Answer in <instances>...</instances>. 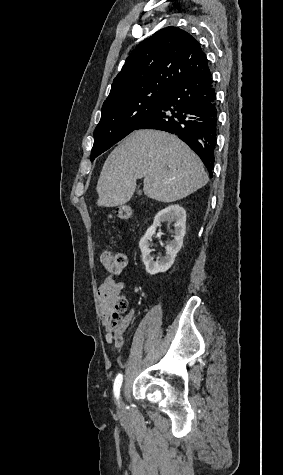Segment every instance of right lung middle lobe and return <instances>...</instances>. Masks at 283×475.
Wrapping results in <instances>:
<instances>
[{"label":"right lung middle lobe","mask_w":283,"mask_h":475,"mask_svg":"<svg viewBox=\"0 0 283 475\" xmlns=\"http://www.w3.org/2000/svg\"><path fill=\"white\" fill-rule=\"evenodd\" d=\"M168 92H152L103 105L94 131L91 161L136 129L158 107Z\"/></svg>","instance_id":"obj_1"}]
</instances>
